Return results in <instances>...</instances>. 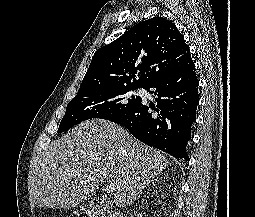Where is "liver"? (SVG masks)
<instances>
[{"instance_id": "1", "label": "liver", "mask_w": 255, "mask_h": 217, "mask_svg": "<svg viewBox=\"0 0 255 217\" xmlns=\"http://www.w3.org/2000/svg\"><path fill=\"white\" fill-rule=\"evenodd\" d=\"M169 165L160 151L106 120L85 121L51 143L31 174V197L39 207L69 209L95 194L106 180L114 204H130Z\"/></svg>"}]
</instances>
